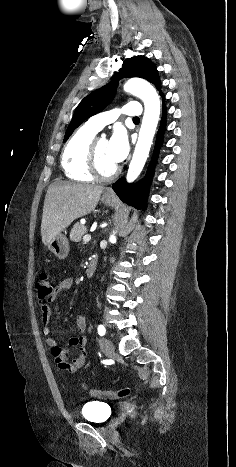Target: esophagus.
<instances>
[{"label":"esophagus","instance_id":"obj_1","mask_svg":"<svg viewBox=\"0 0 236 467\" xmlns=\"http://www.w3.org/2000/svg\"><path fill=\"white\" fill-rule=\"evenodd\" d=\"M106 195H110V196H111V195H113V192H112L111 190H107V191H106Z\"/></svg>","mask_w":236,"mask_h":467}]
</instances>
